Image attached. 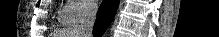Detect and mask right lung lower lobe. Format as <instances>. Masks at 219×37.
<instances>
[{
    "mask_svg": "<svg viewBox=\"0 0 219 37\" xmlns=\"http://www.w3.org/2000/svg\"><path fill=\"white\" fill-rule=\"evenodd\" d=\"M119 5V0H104L100 5L93 28L94 37H101L110 25Z\"/></svg>",
    "mask_w": 219,
    "mask_h": 37,
    "instance_id": "98d812e1",
    "label": "right lung lower lobe"
}]
</instances>
